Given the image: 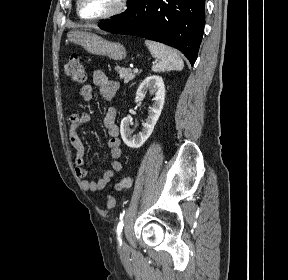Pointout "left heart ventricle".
<instances>
[{
    "label": "left heart ventricle",
    "instance_id": "1",
    "mask_svg": "<svg viewBox=\"0 0 288 280\" xmlns=\"http://www.w3.org/2000/svg\"><path fill=\"white\" fill-rule=\"evenodd\" d=\"M119 0H82L81 14L85 17H96L112 10Z\"/></svg>",
    "mask_w": 288,
    "mask_h": 280
}]
</instances>
